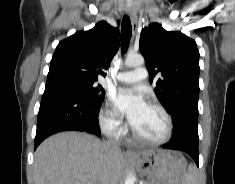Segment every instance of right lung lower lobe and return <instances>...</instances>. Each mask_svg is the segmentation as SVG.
<instances>
[{"mask_svg":"<svg viewBox=\"0 0 235 184\" xmlns=\"http://www.w3.org/2000/svg\"><path fill=\"white\" fill-rule=\"evenodd\" d=\"M101 105L62 84L45 87L38 113L34 150L45 138L62 131H81L100 136L98 113Z\"/></svg>","mask_w":235,"mask_h":184,"instance_id":"right-lung-lower-lobe-1","label":"right lung lower lobe"}]
</instances>
